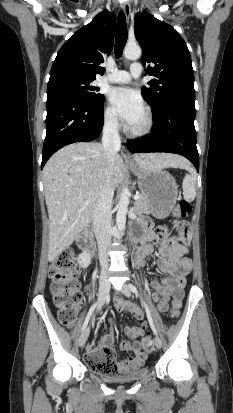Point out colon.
Here are the masks:
<instances>
[{"label":"colon","instance_id":"obj_1","mask_svg":"<svg viewBox=\"0 0 233 413\" xmlns=\"http://www.w3.org/2000/svg\"><path fill=\"white\" fill-rule=\"evenodd\" d=\"M192 206L189 201L181 199L174 209V215L178 219L175 226L180 230H186V226L180 220L191 214ZM51 292L54 303L58 309V319L66 327H71L77 317L82 301L80 291L79 272L76 269L72 251H63L50 265ZM180 306L174 304L170 310L173 320L180 315ZM152 339L146 336L142 345L145 351L151 347ZM86 364L98 373L114 375L119 372L116 354L112 349L104 348L98 356L85 358Z\"/></svg>","mask_w":233,"mask_h":413}]
</instances>
